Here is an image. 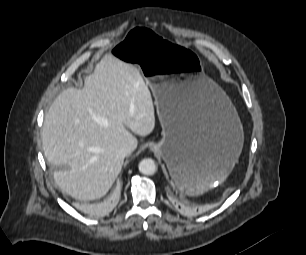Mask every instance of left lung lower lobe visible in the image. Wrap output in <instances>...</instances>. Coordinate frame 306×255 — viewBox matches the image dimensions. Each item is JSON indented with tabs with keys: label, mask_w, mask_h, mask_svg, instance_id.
Returning a JSON list of instances; mask_svg holds the SVG:
<instances>
[{
	"label": "left lung lower lobe",
	"mask_w": 306,
	"mask_h": 255,
	"mask_svg": "<svg viewBox=\"0 0 306 255\" xmlns=\"http://www.w3.org/2000/svg\"><path fill=\"white\" fill-rule=\"evenodd\" d=\"M173 199L176 201V198H175V197H173ZM185 206H186L185 203H182V204H181V207H182V208H184Z\"/></svg>",
	"instance_id": "obj_1"
}]
</instances>
